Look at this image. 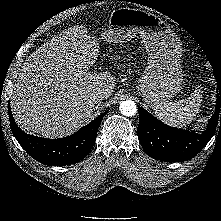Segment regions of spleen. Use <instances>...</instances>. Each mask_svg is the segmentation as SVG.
Returning <instances> with one entry per match:
<instances>
[{
    "label": "spleen",
    "mask_w": 221,
    "mask_h": 221,
    "mask_svg": "<svg viewBox=\"0 0 221 221\" xmlns=\"http://www.w3.org/2000/svg\"><path fill=\"white\" fill-rule=\"evenodd\" d=\"M201 98V90L196 89L187 99L154 106L153 111L166 124L183 128L189 125L199 112Z\"/></svg>",
    "instance_id": "spleen-1"
}]
</instances>
